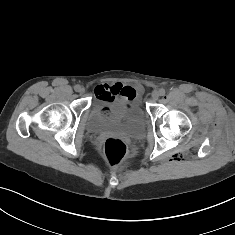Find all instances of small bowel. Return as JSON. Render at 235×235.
<instances>
[{"label":"small bowel","instance_id":"obj_1","mask_svg":"<svg viewBox=\"0 0 235 235\" xmlns=\"http://www.w3.org/2000/svg\"><path fill=\"white\" fill-rule=\"evenodd\" d=\"M95 95L98 99L104 101H115L116 98L123 100H134L137 96V90L129 86H123L120 83L114 85H98L95 88Z\"/></svg>","mask_w":235,"mask_h":235}]
</instances>
